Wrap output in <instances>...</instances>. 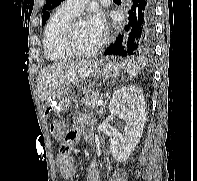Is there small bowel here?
Here are the masks:
<instances>
[{
  "instance_id": "obj_1",
  "label": "small bowel",
  "mask_w": 197,
  "mask_h": 181,
  "mask_svg": "<svg viewBox=\"0 0 197 181\" xmlns=\"http://www.w3.org/2000/svg\"><path fill=\"white\" fill-rule=\"evenodd\" d=\"M90 123L91 120L87 115H78L75 117L71 128L62 131L58 136L61 144L65 143L67 145V150L62 151L61 148L59 149L56 164L62 175L67 179L73 178L76 174V165L71 157L72 146L77 142L80 135H83L88 140L93 139L92 132L88 130ZM87 181H100V173L95 161L91 162L87 169Z\"/></svg>"
}]
</instances>
